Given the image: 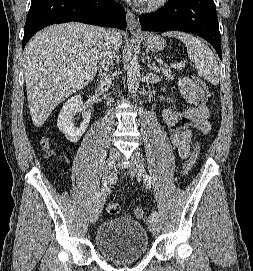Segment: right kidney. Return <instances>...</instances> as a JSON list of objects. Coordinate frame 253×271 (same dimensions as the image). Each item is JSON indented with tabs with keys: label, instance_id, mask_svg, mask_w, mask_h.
I'll return each instance as SVG.
<instances>
[{
	"label": "right kidney",
	"instance_id": "ca27d5eb",
	"mask_svg": "<svg viewBox=\"0 0 253 271\" xmlns=\"http://www.w3.org/2000/svg\"><path fill=\"white\" fill-rule=\"evenodd\" d=\"M81 95L71 97L62 107L57 120V127L65 135L68 141L77 142L85 133L91 119V112H86L83 122L79 127L74 126L73 116L81 110Z\"/></svg>",
	"mask_w": 253,
	"mask_h": 271
}]
</instances>
